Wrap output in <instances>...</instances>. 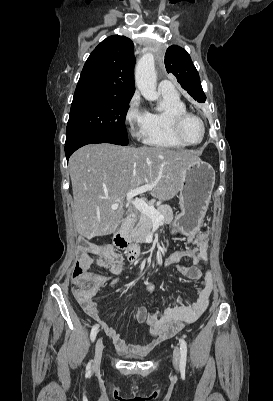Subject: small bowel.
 Wrapping results in <instances>:
<instances>
[{"mask_svg": "<svg viewBox=\"0 0 273 401\" xmlns=\"http://www.w3.org/2000/svg\"><path fill=\"white\" fill-rule=\"evenodd\" d=\"M191 240L194 243L192 248L174 251L166 258L165 263L176 265L185 278L198 281L200 285L198 296L191 303H187L181 296L172 299L161 315L150 313L145 306H140L135 313V319L139 323H147L150 327L149 340L143 344L124 340L115 328L102 320L96 301L92 303L93 293L100 292L97 291L98 287L105 289L118 281L108 282L102 276L91 275L90 278H94L93 284H85L84 290H74L73 297L76 303L80 304L84 312L99 324L119 352L144 354L153 343L161 345L164 342L163 338H168L184 326L195 322L208 308L214 289L213 274L209 269L204 270L200 263L207 257L209 232H200ZM82 251H91L93 257L88 261H94L113 274H121L124 270L123 254L110 245L84 243L81 246ZM185 262H190L191 265H186Z\"/></svg>", "mask_w": 273, "mask_h": 401, "instance_id": "obj_1", "label": "small bowel"}]
</instances>
